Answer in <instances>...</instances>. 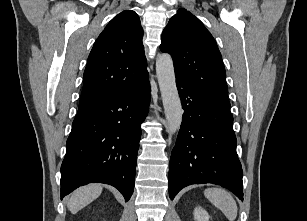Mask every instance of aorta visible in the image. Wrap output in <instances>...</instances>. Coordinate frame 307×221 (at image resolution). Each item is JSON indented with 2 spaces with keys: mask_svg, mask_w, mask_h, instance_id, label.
I'll return each instance as SVG.
<instances>
[{
  "mask_svg": "<svg viewBox=\"0 0 307 221\" xmlns=\"http://www.w3.org/2000/svg\"><path fill=\"white\" fill-rule=\"evenodd\" d=\"M156 74L167 121V131L174 134L180 129L183 110L176 87L173 60L169 54L164 53L158 56Z\"/></svg>",
  "mask_w": 307,
  "mask_h": 221,
  "instance_id": "1",
  "label": "aorta"
}]
</instances>
